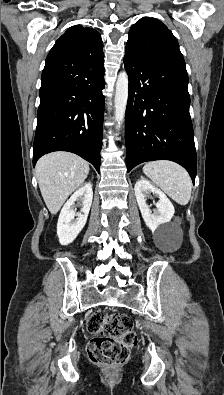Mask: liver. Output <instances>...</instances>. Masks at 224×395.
Returning a JSON list of instances; mask_svg holds the SVG:
<instances>
[{
  "label": "liver",
  "instance_id": "1",
  "mask_svg": "<svg viewBox=\"0 0 224 395\" xmlns=\"http://www.w3.org/2000/svg\"><path fill=\"white\" fill-rule=\"evenodd\" d=\"M89 173V164L68 152H53L41 157L35 175L51 214H56L67 198L81 187Z\"/></svg>",
  "mask_w": 224,
  "mask_h": 395
}]
</instances>
